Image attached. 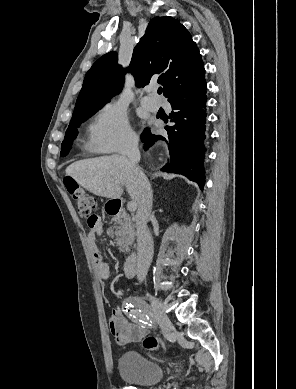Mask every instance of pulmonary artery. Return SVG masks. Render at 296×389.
<instances>
[{"instance_id":"obj_1","label":"pulmonary artery","mask_w":296,"mask_h":389,"mask_svg":"<svg viewBox=\"0 0 296 389\" xmlns=\"http://www.w3.org/2000/svg\"><path fill=\"white\" fill-rule=\"evenodd\" d=\"M141 104L151 111H157L159 108V103L154 95L144 96L141 99Z\"/></svg>"}]
</instances>
